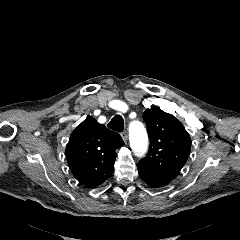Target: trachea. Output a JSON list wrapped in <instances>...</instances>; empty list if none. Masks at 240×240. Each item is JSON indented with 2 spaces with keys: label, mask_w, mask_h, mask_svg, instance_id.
Returning <instances> with one entry per match:
<instances>
[{
  "label": "trachea",
  "mask_w": 240,
  "mask_h": 240,
  "mask_svg": "<svg viewBox=\"0 0 240 240\" xmlns=\"http://www.w3.org/2000/svg\"><path fill=\"white\" fill-rule=\"evenodd\" d=\"M110 129L121 132L124 129V120L122 116L116 115L107 125Z\"/></svg>",
  "instance_id": "trachea-1"
}]
</instances>
